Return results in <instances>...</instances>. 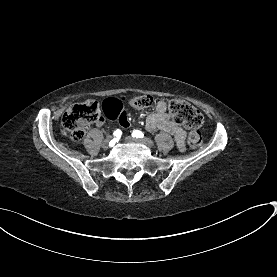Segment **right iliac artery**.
<instances>
[{
  "label": "right iliac artery",
  "mask_w": 277,
  "mask_h": 277,
  "mask_svg": "<svg viewBox=\"0 0 277 277\" xmlns=\"http://www.w3.org/2000/svg\"><path fill=\"white\" fill-rule=\"evenodd\" d=\"M113 135H114L115 137H117V138H120L121 135H122V131L119 130V129H117V130L114 131Z\"/></svg>",
  "instance_id": "82829eb1"
}]
</instances>
